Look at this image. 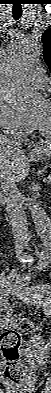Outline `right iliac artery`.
<instances>
[{
	"mask_svg": "<svg viewBox=\"0 0 51 393\" xmlns=\"http://www.w3.org/2000/svg\"><path fill=\"white\" fill-rule=\"evenodd\" d=\"M1 303H3L6 306L7 302H6L5 298L1 297Z\"/></svg>",
	"mask_w": 51,
	"mask_h": 393,
	"instance_id": "1",
	"label": "right iliac artery"
}]
</instances>
